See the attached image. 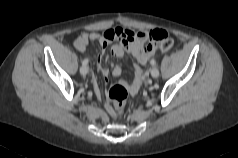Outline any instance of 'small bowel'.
Instances as JSON below:
<instances>
[{"label":"small bowel","mask_w":238,"mask_h":158,"mask_svg":"<svg viewBox=\"0 0 238 158\" xmlns=\"http://www.w3.org/2000/svg\"><path fill=\"white\" fill-rule=\"evenodd\" d=\"M157 35H167L165 31L154 30H141L133 31L124 28H114L106 30L104 33H83L75 39L74 47L83 52L93 42H98L101 51L98 55V70L101 75L107 79L109 76V69L104 66V62L107 59V49L112 41H118L117 44L111 48V54L116 58H121L125 53L131 54L138 64L144 65L149 59L159 50ZM112 73L117 76L121 73V69L118 66H112ZM143 78V72L140 67L134 65V78L130 84V90L135 92L139 87ZM93 86L96 95L101 98L103 95L102 88L95 76L92 78ZM108 109V106H107Z\"/></svg>","instance_id":"c3829d8e"}]
</instances>
